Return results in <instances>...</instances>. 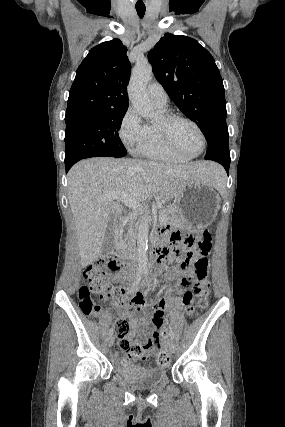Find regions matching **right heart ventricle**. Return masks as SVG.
Segmentation results:
<instances>
[{
    "instance_id": "right-heart-ventricle-1",
    "label": "right heart ventricle",
    "mask_w": 285,
    "mask_h": 427,
    "mask_svg": "<svg viewBox=\"0 0 285 427\" xmlns=\"http://www.w3.org/2000/svg\"><path fill=\"white\" fill-rule=\"evenodd\" d=\"M165 110V108H161ZM142 156L165 162H185L189 158L182 156L169 148L162 140L155 124H147V136L139 153Z\"/></svg>"
}]
</instances>
